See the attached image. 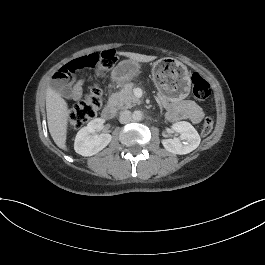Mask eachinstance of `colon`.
I'll return each instance as SVG.
<instances>
[{
  "label": "colon",
  "mask_w": 265,
  "mask_h": 265,
  "mask_svg": "<svg viewBox=\"0 0 265 265\" xmlns=\"http://www.w3.org/2000/svg\"><path fill=\"white\" fill-rule=\"evenodd\" d=\"M115 62L116 56L113 50L92 53L70 61L57 70L54 77L63 80L83 69H94L98 75H103L113 67ZM191 81L194 98L198 101L206 100L211 94L209 83L198 73L192 74ZM102 102V90L100 87L97 85L91 86L85 98L71 108V125L78 128L93 119L101 109ZM213 127L214 120L211 117L205 118L201 128L202 134H210Z\"/></svg>",
  "instance_id": "1"
}]
</instances>
